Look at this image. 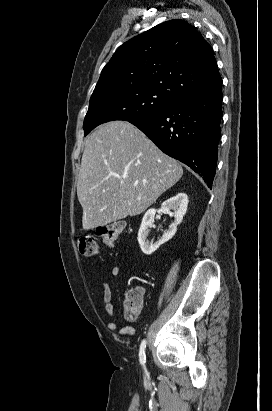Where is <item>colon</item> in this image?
Here are the masks:
<instances>
[{"mask_svg": "<svg viewBox=\"0 0 272 411\" xmlns=\"http://www.w3.org/2000/svg\"><path fill=\"white\" fill-rule=\"evenodd\" d=\"M125 224L121 221L103 225L98 229L102 243L106 247H112ZM99 246L93 236L86 235L79 239V251L83 256L91 257L98 253ZM143 303V293L139 289H131L126 293L125 317L128 321H134L138 317Z\"/></svg>", "mask_w": 272, "mask_h": 411, "instance_id": "colon-1", "label": "colon"}]
</instances>
